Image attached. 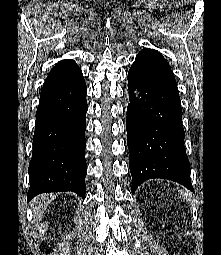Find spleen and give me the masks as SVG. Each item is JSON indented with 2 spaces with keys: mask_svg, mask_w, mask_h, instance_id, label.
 Listing matches in <instances>:
<instances>
[{
  "mask_svg": "<svg viewBox=\"0 0 221 255\" xmlns=\"http://www.w3.org/2000/svg\"><path fill=\"white\" fill-rule=\"evenodd\" d=\"M180 192L181 194H183L184 199H186L187 201H190V196L187 191L181 190Z\"/></svg>",
  "mask_w": 221,
  "mask_h": 255,
  "instance_id": "obj_1",
  "label": "spleen"
}]
</instances>
